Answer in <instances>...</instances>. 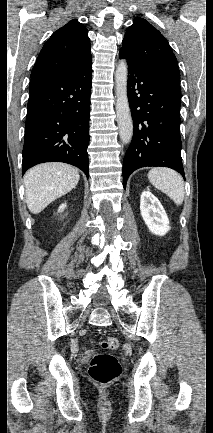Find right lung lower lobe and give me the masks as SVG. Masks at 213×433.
Wrapping results in <instances>:
<instances>
[{
    "mask_svg": "<svg viewBox=\"0 0 213 433\" xmlns=\"http://www.w3.org/2000/svg\"><path fill=\"white\" fill-rule=\"evenodd\" d=\"M91 66L65 76L31 78L22 174L57 161L80 168L88 178Z\"/></svg>",
    "mask_w": 213,
    "mask_h": 433,
    "instance_id": "98d812e1",
    "label": "right lung lower lobe"
}]
</instances>
